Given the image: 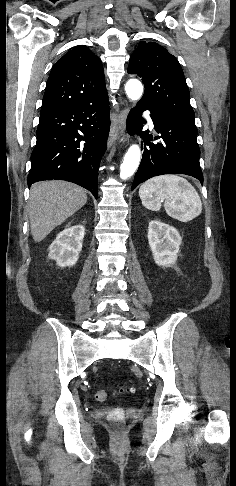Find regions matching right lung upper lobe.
<instances>
[{
  "label": "right lung upper lobe",
  "instance_id": "cb5924a9",
  "mask_svg": "<svg viewBox=\"0 0 236 486\" xmlns=\"http://www.w3.org/2000/svg\"><path fill=\"white\" fill-rule=\"evenodd\" d=\"M106 99L102 62L86 46L80 45L67 52L53 66L40 115Z\"/></svg>",
  "mask_w": 236,
  "mask_h": 486
}]
</instances>
